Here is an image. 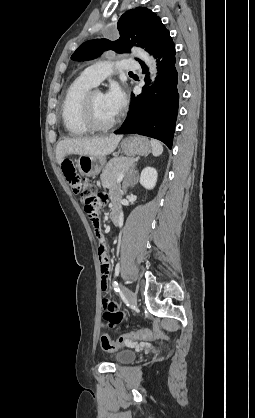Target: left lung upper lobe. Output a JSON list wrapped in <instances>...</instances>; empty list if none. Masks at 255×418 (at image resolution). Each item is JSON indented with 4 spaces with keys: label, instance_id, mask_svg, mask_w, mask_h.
Wrapping results in <instances>:
<instances>
[{
    "label": "left lung upper lobe",
    "instance_id": "obj_1",
    "mask_svg": "<svg viewBox=\"0 0 255 418\" xmlns=\"http://www.w3.org/2000/svg\"><path fill=\"white\" fill-rule=\"evenodd\" d=\"M120 37L90 40L83 43L71 56L75 61L90 60L103 51L129 52L134 45L145 48L152 55L158 53L171 38L161 19L150 9L137 7L125 12L118 21ZM140 63L142 61L137 59Z\"/></svg>",
    "mask_w": 255,
    "mask_h": 418
}]
</instances>
